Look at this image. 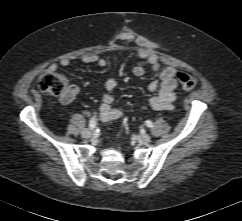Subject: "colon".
I'll return each instance as SVG.
<instances>
[{"label":"colon","instance_id":"colon-1","mask_svg":"<svg viewBox=\"0 0 242 221\" xmlns=\"http://www.w3.org/2000/svg\"><path fill=\"white\" fill-rule=\"evenodd\" d=\"M176 78L184 90H192L197 85L196 79L189 74L178 73ZM38 85L41 91L59 97L64 102L70 98L66 78L57 71L50 69L43 71L39 76Z\"/></svg>","mask_w":242,"mask_h":221}]
</instances>
